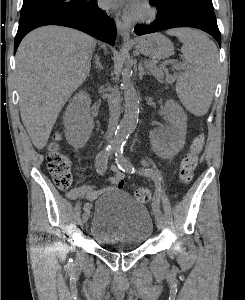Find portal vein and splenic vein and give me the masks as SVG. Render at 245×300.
<instances>
[{
    "instance_id": "portal-vein-and-splenic-vein-1",
    "label": "portal vein and splenic vein",
    "mask_w": 245,
    "mask_h": 300,
    "mask_svg": "<svg viewBox=\"0 0 245 300\" xmlns=\"http://www.w3.org/2000/svg\"><path fill=\"white\" fill-rule=\"evenodd\" d=\"M171 63H173V64H176V63H177V61H176V60H172V61H171ZM145 65H146V66H148V67H150L151 63H149V62H146V63H145ZM177 68H180V67H179V66H177Z\"/></svg>"
}]
</instances>
